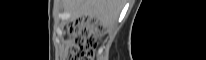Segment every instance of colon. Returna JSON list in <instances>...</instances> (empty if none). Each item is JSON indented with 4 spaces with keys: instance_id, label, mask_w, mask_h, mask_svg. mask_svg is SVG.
Returning a JSON list of instances; mask_svg holds the SVG:
<instances>
[{
    "instance_id": "1",
    "label": "colon",
    "mask_w": 206,
    "mask_h": 60,
    "mask_svg": "<svg viewBox=\"0 0 206 60\" xmlns=\"http://www.w3.org/2000/svg\"><path fill=\"white\" fill-rule=\"evenodd\" d=\"M68 32L72 39L70 59H92L97 40L102 36L103 29L96 26L94 21L80 19L69 25Z\"/></svg>"
}]
</instances>
